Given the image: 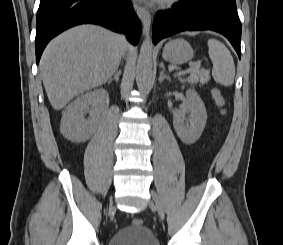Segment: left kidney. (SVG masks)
Returning <instances> with one entry per match:
<instances>
[{"mask_svg":"<svg viewBox=\"0 0 283 245\" xmlns=\"http://www.w3.org/2000/svg\"><path fill=\"white\" fill-rule=\"evenodd\" d=\"M190 115L187 120L189 126H185V113ZM207 121V113L205 105L194 90L186 91V101L181 105L180 109L173 113L174 129L181 139L187 145L195 143L201 136Z\"/></svg>","mask_w":283,"mask_h":245,"instance_id":"5707ae66","label":"left kidney"}]
</instances>
